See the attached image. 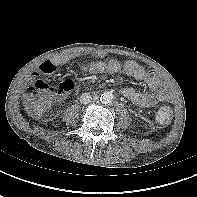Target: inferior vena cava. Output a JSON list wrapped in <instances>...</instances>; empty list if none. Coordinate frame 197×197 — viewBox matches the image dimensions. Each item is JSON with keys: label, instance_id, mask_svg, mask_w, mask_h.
Wrapping results in <instances>:
<instances>
[{"label": "inferior vena cava", "instance_id": "inferior-vena-cava-1", "mask_svg": "<svg viewBox=\"0 0 197 197\" xmlns=\"http://www.w3.org/2000/svg\"><path fill=\"white\" fill-rule=\"evenodd\" d=\"M80 102L82 104H89L92 102V97L89 93H83L81 96H80Z\"/></svg>", "mask_w": 197, "mask_h": 197}]
</instances>
